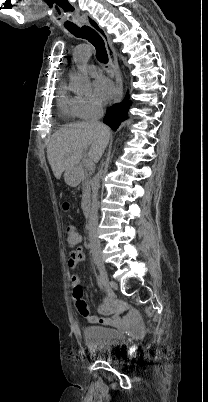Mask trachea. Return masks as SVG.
<instances>
[{"mask_svg":"<svg viewBox=\"0 0 208 402\" xmlns=\"http://www.w3.org/2000/svg\"><path fill=\"white\" fill-rule=\"evenodd\" d=\"M67 30L75 37L85 38L88 42L92 43L96 49V58L103 64L108 63V54L106 51L105 43L102 37L93 28L88 25L83 27H68Z\"/></svg>","mask_w":208,"mask_h":402,"instance_id":"obj_1","label":"trachea"}]
</instances>
